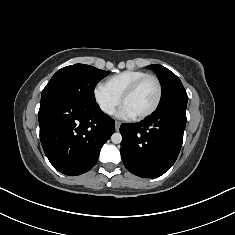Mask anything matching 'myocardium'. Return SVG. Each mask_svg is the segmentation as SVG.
Instances as JSON below:
<instances>
[{
	"mask_svg": "<svg viewBox=\"0 0 235 235\" xmlns=\"http://www.w3.org/2000/svg\"><path fill=\"white\" fill-rule=\"evenodd\" d=\"M148 79H153L156 84H157V88H158V94H157V99L154 103V105L147 111L139 114V115H136L134 116L135 119L137 120H141V119H144V118H147L148 116L152 115L159 107L160 103H161V100H162V96H163V88H162V84H161V81L160 79L155 76V75H152V74H147L141 78H139L138 80H136L121 96L120 98V102L121 104L123 105L124 101L130 97L131 95H133L137 90L138 88Z\"/></svg>",
	"mask_w": 235,
	"mask_h": 235,
	"instance_id": "f54148a6",
	"label": "myocardium"
}]
</instances>
